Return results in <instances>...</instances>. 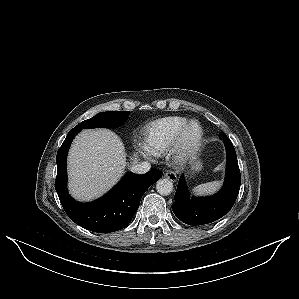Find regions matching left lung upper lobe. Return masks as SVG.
<instances>
[{
    "label": "left lung upper lobe",
    "instance_id": "1",
    "mask_svg": "<svg viewBox=\"0 0 299 299\" xmlns=\"http://www.w3.org/2000/svg\"><path fill=\"white\" fill-rule=\"evenodd\" d=\"M223 136L226 137V134L222 131V132L220 133V137L222 138Z\"/></svg>",
    "mask_w": 299,
    "mask_h": 299
}]
</instances>
